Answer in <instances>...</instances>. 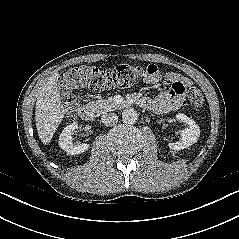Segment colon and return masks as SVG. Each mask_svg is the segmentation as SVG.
Returning <instances> with one entry per match:
<instances>
[{"label":"colon","instance_id":"5ec220e1","mask_svg":"<svg viewBox=\"0 0 239 239\" xmlns=\"http://www.w3.org/2000/svg\"><path fill=\"white\" fill-rule=\"evenodd\" d=\"M143 70L139 66L123 64L109 69L94 66L72 67L59 79L60 92L68 115L74 116L78 102L75 91L82 88L104 90L109 88L130 87L142 77ZM187 99L190 106L201 111L204 107V97L200 89L190 87L187 90Z\"/></svg>","mask_w":239,"mask_h":239}]
</instances>
